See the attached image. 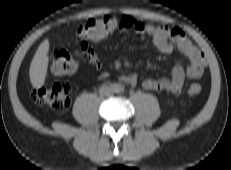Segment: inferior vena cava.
Returning a JSON list of instances; mask_svg holds the SVG:
<instances>
[{"instance_id":"inferior-vena-cava-1","label":"inferior vena cava","mask_w":231,"mask_h":170,"mask_svg":"<svg viewBox=\"0 0 231 170\" xmlns=\"http://www.w3.org/2000/svg\"><path fill=\"white\" fill-rule=\"evenodd\" d=\"M99 93L102 96H110L113 93V91L111 88H109L107 86H103L100 88Z\"/></svg>"}]
</instances>
